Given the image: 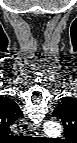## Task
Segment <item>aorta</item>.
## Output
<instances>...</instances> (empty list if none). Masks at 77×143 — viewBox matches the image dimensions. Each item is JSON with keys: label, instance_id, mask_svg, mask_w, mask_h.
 Masks as SVG:
<instances>
[{"label": "aorta", "instance_id": "1", "mask_svg": "<svg viewBox=\"0 0 77 143\" xmlns=\"http://www.w3.org/2000/svg\"><path fill=\"white\" fill-rule=\"evenodd\" d=\"M44 130L48 135L58 134L62 131V127L58 122L49 121L44 124Z\"/></svg>", "mask_w": 77, "mask_h": 143}]
</instances>
